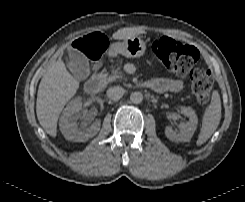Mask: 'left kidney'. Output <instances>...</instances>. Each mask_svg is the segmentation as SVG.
I'll use <instances>...</instances> for the list:
<instances>
[{
  "mask_svg": "<svg viewBox=\"0 0 245 202\" xmlns=\"http://www.w3.org/2000/svg\"><path fill=\"white\" fill-rule=\"evenodd\" d=\"M180 112L188 117V121L180 125L179 133L174 132L172 127L167 126L165 128V135L171 141L189 142L197 128L198 118L192 108L181 107Z\"/></svg>",
  "mask_w": 245,
  "mask_h": 202,
  "instance_id": "5707ae66",
  "label": "left kidney"
}]
</instances>
